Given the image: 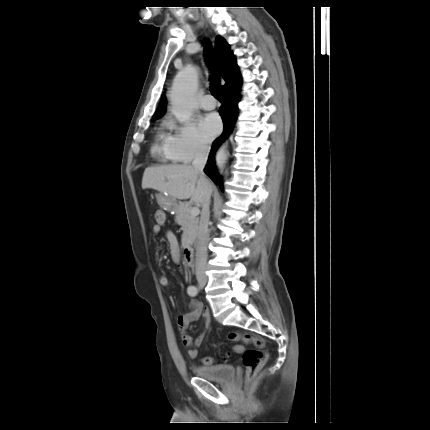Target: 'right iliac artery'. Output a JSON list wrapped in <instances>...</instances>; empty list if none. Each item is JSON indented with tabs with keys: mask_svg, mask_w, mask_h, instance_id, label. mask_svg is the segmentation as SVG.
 <instances>
[{
	"mask_svg": "<svg viewBox=\"0 0 430 430\" xmlns=\"http://www.w3.org/2000/svg\"><path fill=\"white\" fill-rule=\"evenodd\" d=\"M187 293L189 296H196L198 293V288L196 286H189L187 288Z\"/></svg>",
	"mask_w": 430,
	"mask_h": 430,
	"instance_id": "right-iliac-artery-1",
	"label": "right iliac artery"
}]
</instances>
